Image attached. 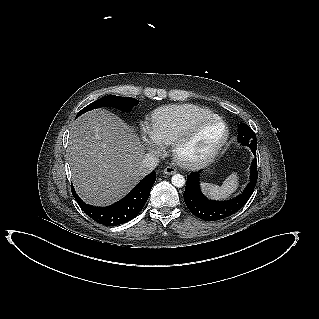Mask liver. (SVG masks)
<instances>
[{"instance_id":"6515ba94","label":"liver","mask_w":319,"mask_h":319,"mask_svg":"<svg viewBox=\"0 0 319 319\" xmlns=\"http://www.w3.org/2000/svg\"><path fill=\"white\" fill-rule=\"evenodd\" d=\"M144 145L124 121L105 109L89 111L70 128L67 157L77 194L88 204L109 205L146 175Z\"/></svg>"}]
</instances>
